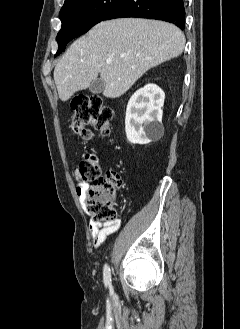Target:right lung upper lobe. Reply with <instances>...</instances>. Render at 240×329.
<instances>
[{"instance_id": "cb5924a9", "label": "right lung upper lobe", "mask_w": 240, "mask_h": 329, "mask_svg": "<svg viewBox=\"0 0 240 329\" xmlns=\"http://www.w3.org/2000/svg\"><path fill=\"white\" fill-rule=\"evenodd\" d=\"M71 1H73V0H65L64 5L70 3ZM64 5H63V6H64Z\"/></svg>"}]
</instances>
